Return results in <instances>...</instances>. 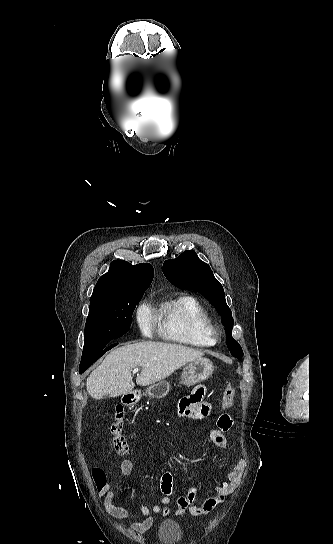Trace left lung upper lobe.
I'll list each match as a JSON object with an SVG mask.
<instances>
[{
  "mask_svg": "<svg viewBox=\"0 0 333 544\" xmlns=\"http://www.w3.org/2000/svg\"><path fill=\"white\" fill-rule=\"evenodd\" d=\"M163 273L173 284L192 288L201 293L212 303L222 316V323L227 333L228 348L231 354L240 359L243 356L241 346L232 337L233 318L225 301L222 285L215 279L210 266L201 261L194 251H185L177 259L167 260Z\"/></svg>",
  "mask_w": 333,
  "mask_h": 544,
  "instance_id": "5c2ea615",
  "label": "left lung upper lobe"
}]
</instances>
